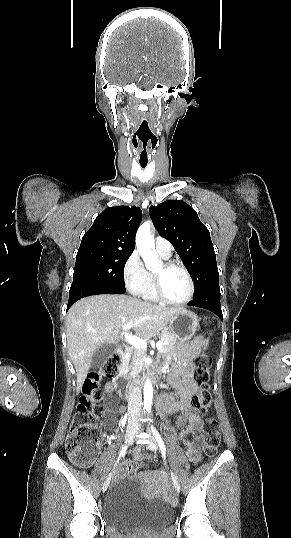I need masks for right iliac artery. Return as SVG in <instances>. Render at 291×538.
<instances>
[{"label":"right iliac artery","mask_w":291,"mask_h":538,"mask_svg":"<svg viewBox=\"0 0 291 538\" xmlns=\"http://www.w3.org/2000/svg\"><path fill=\"white\" fill-rule=\"evenodd\" d=\"M126 450H127V446H125V447L122 448V450H121V452H120V454H119V458H118L117 462L119 461V459H120L122 456L125 455ZM117 462H116V463H117Z\"/></svg>","instance_id":"1"}]
</instances>
